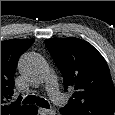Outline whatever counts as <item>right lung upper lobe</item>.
Returning <instances> with one entry per match:
<instances>
[{"label": "right lung upper lobe", "instance_id": "right-lung-upper-lobe-1", "mask_svg": "<svg viewBox=\"0 0 115 115\" xmlns=\"http://www.w3.org/2000/svg\"><path fill=\"white\" fill-rule=\"evenodd\" d=\"M32 39H10L1 42V115H29L34 106L10 102L13 96L14 72L19 57L32 45Z\"/></svg>", "mask_w": 115, "mask_h": 115}]
</instances>
